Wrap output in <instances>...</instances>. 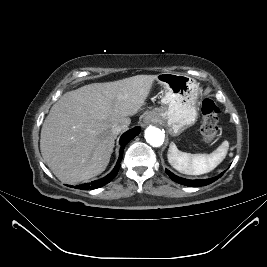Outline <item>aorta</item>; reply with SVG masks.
<instances>
[{"instance_id": "1", "label": "aorta", "mask_w": 267, "mask_h": 267, "mask_svg": "<svg viewBox=\"0 0 267 267\" xmlns=\"http://www.w3.org/2000/svg\"><path fill=\"white\" fill-rule=\"evenodd\" d=\"M145 139L151 146L159 147L164 142L165 134L163 130L154 126H149L145 130Z\"/></svg>"}]
</instances>
